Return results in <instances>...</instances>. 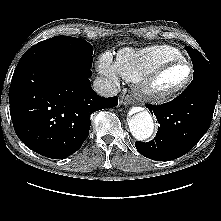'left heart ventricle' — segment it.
Instances as JSON below:
<instances>
[{"mask_svg": "<svg viewBox=\"0 0 221 221\" xmlns=\"http://www.w3.org/2000/svg\"><path fill=\"white\" fill-rule=\"evenodd\" d=\"M189 76V68L184 65L176 66L165 72L158 80L160 89H171L182 84Z\"/></svg>", "mask_w": 221, "mask_h": 221, "instance_id": "left-heart-ventricle-1", "label": "left heart ventricle"}]
</instances>
